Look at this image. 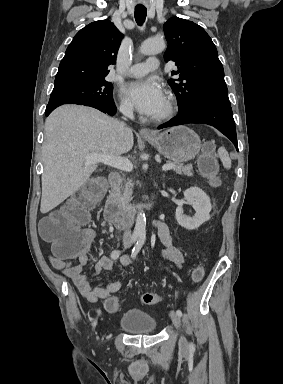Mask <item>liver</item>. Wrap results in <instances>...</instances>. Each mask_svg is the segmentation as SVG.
<instances>
[{"instance_id": "6515ba94", "label": "liver", "mask_w": 283, "mask_h": 384, "mask_svg": "<svg viewBox=\"0 0 283 384\" xmlns=\"http://www.w3.org/2000/svg\"><path fill=\"white\" fill-rule=\"evenodd\" d=\"M45 136L41 214L59 206L89 180L97 166L85 164L87 154L120 156L130 152L134 144L130 128L122 138L118 120L74 104L60 106L50 114Z\"/></svg>"}]
</instances>
